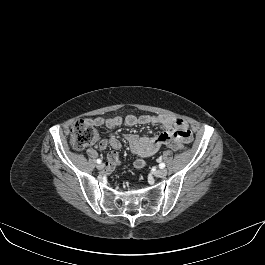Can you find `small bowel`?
<instances>
[{
    "mask_svg": "<svg viewBox=\"0 0 265 265\" xmlns=\"http://www.w3.org/2000/svg\"><path fill=\"white\" fill-rule=\"evenodd\" d=\"M87 121L93 126H105L108 129H114L123 123L120 116L96 117ZM124 122L129 126L153 124L158 125L161 129V132L153 137L139 136L132 133L123 136L129 143L132 152L139 157L134 161V167L138 169L145 166L143 158L154 155L162 145L168 146L171 140L176 139L183 144H187L192 140V132L187 123L181 118L170 115L135 116L131 114L125 118ZM107 146L113 149L107 157L108 165L114 167L120 162L117 150L121 147V143L114 134H110L100 141L99 149L104 150Z\"/></svg>",
    "mask_w": 265,
    "mask_h": 265,
    "instance_id": "1",
    "label": "small bowel"
}]
</instances>
